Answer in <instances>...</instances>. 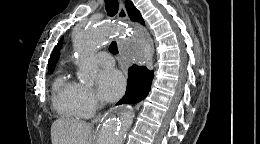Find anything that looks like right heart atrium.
Instances as JSON below:
<instances>
[{"mask_svg":"<svg viewBox=\"0 0 260 144\" xmlns=\"http://www.w3.org/2000/svg\"><path fill=\"white\" fill-rule=\"evenodd\" d=\"M77 100L84 116L91 115L99 106V100L92 89L78 84Z\"/></svg>","mask_w":260,"mask_h":144,"instance_id":"1","label":"right heart atrium"}]
</instances>
